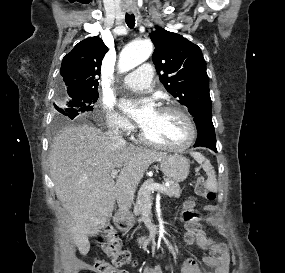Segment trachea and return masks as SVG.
Returning <instances> with one entry per match:
<instances>
[{
	"instance_id": "trachea-1",
	"label": "trachea",
	"mask_w": 285,
	"mask_h": 273,
	"mask_svg": "<svg viewBox=\"0 0 285 273\" xmlns=\"http://www.w3.org/2000/svg\"><path fill=\"white\" fill-rule=\"evenodd\" d=\"M125 21L130 29L135 26V16L133 14L126 13Z\"/></svg>"
}]
</instances>
